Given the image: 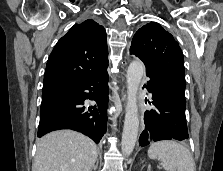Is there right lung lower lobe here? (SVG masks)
Wrapping results in <instances>:
<instances>
[{
	"instance_id": "1",
	"label": "right lung lower lobe",
	"mask_w": 223,
	"mask_h": 171,
	"mask_svg": "<svg viewBox=\"0 0 223 171\" xmlns=\"http://www.w3.org/2000/svg\"><path fill=\"white\" fill-rule=\"evenodd\" d=\"M108 93L106 69L80 85L42 94L38 137L72 129L99 143L106 132ZM85 99L94 100L96 105L85 110Z\"/></svg>"
}]
</instances>
